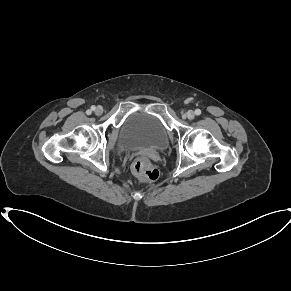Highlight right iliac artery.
<instances>
[{"instance_id": "82829eb1", "label": "right iliac artery", "mask_w": 291, "mask_h": 291, "mask_svg": "<svg viewBox=\"0 0 291 291\" xmlns=\"http://www.w3.org/2000/svg\"><path fill=\"white\" fill-rule=\"evenodd\" d=\"M91 109H92V110H95V107L92 106ZM86 113H87L88 115L91 114V110H88Z\"/></svg>"}]
</instances>
